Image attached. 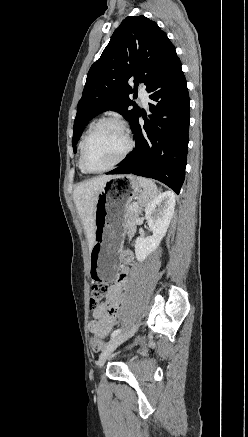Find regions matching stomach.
Wrapping results in <instances>:
<instances>
[{"label": "stomach", "instance_id": "stomach-1", "mask_svg": "<svg viewBox=\"0 0 248 437\" xmlns=\"http://www.w3.org/2000/svg\"><path fill=\"white\" fill-rule=\"evenodd\" d=\"M141 194L137 178L127 174L110 178L97 195L94 246L90 252L95 286L114 285L121 243L127 229L125 212L133 200L140 203Z\"/></svg>", "mask_w": 248, "mask_h": 437}]
</instances>
